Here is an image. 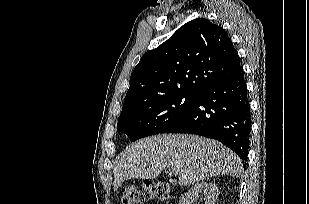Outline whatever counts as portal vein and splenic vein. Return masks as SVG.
<instances>
[{"instance_id":"obj_1","label":"portal vein and splenic vein","mask_w":309,"mask_h":204,"mask_svg":"<svg viewBox=\"0 0 309 204\" xmlns=\"http://www.w3.org/2000/svg\"><path fill=\"white\" fill-rule=\"evenodd\" d=\"M167 172L169 173V175H173V174H175L176 175V172H175V170L174 169H168L167 170Z\"/></svg>"}]
</instances>
